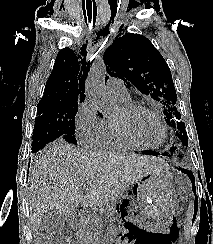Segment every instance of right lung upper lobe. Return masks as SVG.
<instances>
[{"label":"right lung upper lobe","instance_id":"cb5924a9","mask_svg":"<svg viewBox=\"0 0 213 244\" xmlns=\"http://www.w3.org/2000/svg\"><path fill=\"white\" fill-rule=\"evenodd\" d=\"M79 58L81 60H79ZM89 64L70 48L61 49L49 76L41 101L83 102Z\"/></svg>","mask_w":213,"mask_h":244}]
</instances>
